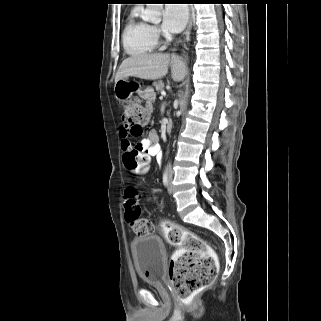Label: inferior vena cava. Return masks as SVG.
Masks as SVG:
<instances>
[{
    "mask_svg": "<svg viewBox=\"0 0 321 321\" xmlns=\"http://www.w3.org/2000/svg\"><path fill=\"white\" fill-rule=\"evenodd\" d=\"M172 174H173L172 167H171V165L169 164V166H168V175L171 177Z\"/></svg>",
    "mask_w": 321,
    "mask_h": 321,
    "instance_id": "inferior-vena-cava-1",
    "label": "inferior vena cava"
}]
</instances>
